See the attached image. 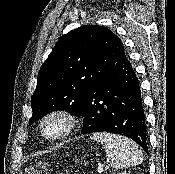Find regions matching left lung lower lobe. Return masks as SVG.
I'll use <instances>...</instances> for the list:
<instances>
[{"label":"left lung lower lobe","mask_w":175,"mask_h":174,"mask_svg":"<svg viewBox=\"0 0 175 174\" xmlns=\"http://www.w3.org/2000/svg\"><path fill=\"white\" fill-rule=\"evenodd\" d=\"M82 133L109 132L131 138L148 154L146 123L138 78L122 54L110 73L84 98Z\"/></svg>","instance_id":"obj_1"}]
</instances>
